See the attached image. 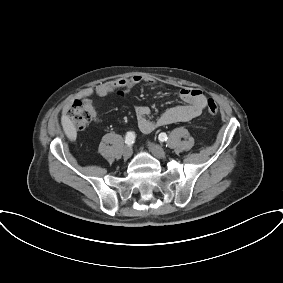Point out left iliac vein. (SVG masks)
Wrapping results in <instances>:
<instances>
[{
	"mask_svg": "<svg viewBox=\"0 0 283 283\" xmlns=\"http://www.w3.org/2000/svg\"><path fill=\"white\" fill-rule=\"evenodd\" d=\"M148 147L155 157H157L159 159H163V158L166 157V152L158 144L148 142Z\"/></svg>",
	"mask_w": 283,
	"mask_h": 283,
	"instance_id": "1",
	"label": "left iliac vein"
}]
</instances>
